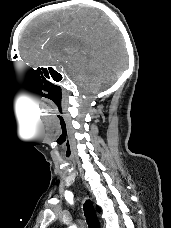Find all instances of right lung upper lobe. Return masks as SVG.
Instances as JSON below:
<instances>
[{
	"label": "right lung upper lobe",
	"mask_w": 171,
	"mask_h": 228,
	"mask_svg": "<svg viewBox=\"0 0 171 228\" xmlns=\"http://www.w3.org/2000/svg\"><path fill=\"white\" fill-rule=\"evenodd\" d=\"M97 210H98V212H100V209H99V207L97 206Z\"/></svg>",
	"instance_id": "right-lung-upper-lobe-1"
}]
</instances>
